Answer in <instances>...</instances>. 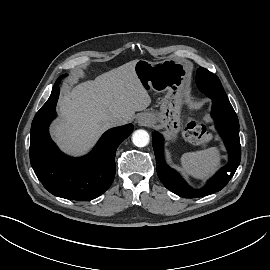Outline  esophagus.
<instances>
[{
    "instance_id": "34e87169",
    "label": "esophagus",
    "mask_w": 270,
    "mask_h": 270,
    "mask_svg": "<svg viewBox=\"0 0 270 270\" xmlns=\"http://www.w3.org/2000/svg\"><path fill=\"white\" fill-rule=\"evenodd\" d=\"M137 121L140 125H148L150 123V118L146 114H141L138 116Z\"/></svg>"
}]
</instances>
